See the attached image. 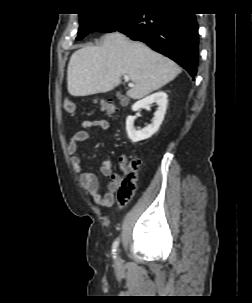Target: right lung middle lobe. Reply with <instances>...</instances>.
Segmentation results:
<instances>
[{
  "instance_id": "dd1d6c3e",
  "label": "right lung middle lobe",
  "mask_w": 252,
  "mask_h": 303,
  "mask_svg": "<svg viewBox=\"0 0 252 303\" xmlns=\"http://www.w3.org/2000/svg\"><path fill=\"white\" fill-rule=\"evenodd\" d=\"M127 12L128 10L113 13L80 14V27L76 40L82 39L90 32L101 30Z\"/></svg>"
}]
</instances>
